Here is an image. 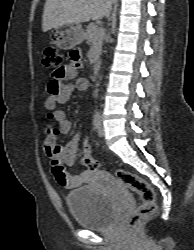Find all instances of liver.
<instances>
[{
	"mask_svg": "<svg viewBox=\"0 0 194 250\" xmlns=\"http://www.w3.org/2000/svg\"><path fill=\"white\" fill-rule=\"evenodd\" d=\"M113 0H46L42 30L108 17Z\"/></svg>",
	"mask_w": 194,
	"mask_h": 250,
	"instance_id": "liver-1",
	"label": "liver"
}]
</instances>
